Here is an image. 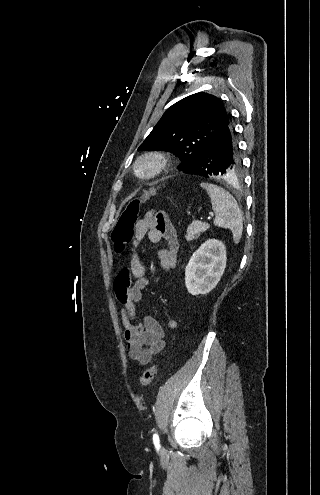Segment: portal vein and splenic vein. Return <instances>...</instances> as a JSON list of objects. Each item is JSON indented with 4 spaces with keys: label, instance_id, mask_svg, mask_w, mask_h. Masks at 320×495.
<instances>
[{
    "label": "portal vein and splenic vein",
    "instance_id": "1",
    "mask_svg": "<svg viewBox=\"0 0 320 495\" xmlns=\"http://www.w3.org/2000/svg\"><path fill=\"white\" fill-rule=\"evenodd\" d=\"M212 217H213V214L211 213L207 219L210 220Z\"/></svg>",
    "mask_w": 320,
    "mask_h": 495
}]
</instances>
